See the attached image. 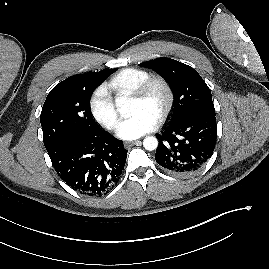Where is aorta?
Here are the masks:
<instances>
[{"mask_svg":"<svg viewBox=\"0 0 269 269\" xmlns=\"http://www.w3.org/2000/svg\"><path fill=\"white\" fill-rule=\"evenodd\" d=\"M115 102L118 112L123 117H128L130 114V100L126 97H117ZM143 146L146 150L153 151L158 146V140L156 137L148 136L143 140Z\"/></svg>","mask_w":269,"mask_h":269,"instance_id":"aorta-1","label":"aorta"}]
</instances>
